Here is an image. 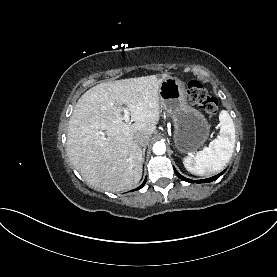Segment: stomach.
<instances>
[{
	"label": "stomach",
	"instance_id": "0dacf381",
	"mask_svg": "<svg viewBox=\"0 0 277 277\" xmlns=\"http://www.w3.org/2000/svg\"><path fill=\"white\" fill-rule=\"evenodd\" d=\"M161 107L172 118L174 145L180 153L193 154L210 134V124L202 112L189 105L187 90L175 77L162 80L159 88Z\"/></svg>",
	"mask_w": 277,
	"mask_h": 277
}]
</instances>
